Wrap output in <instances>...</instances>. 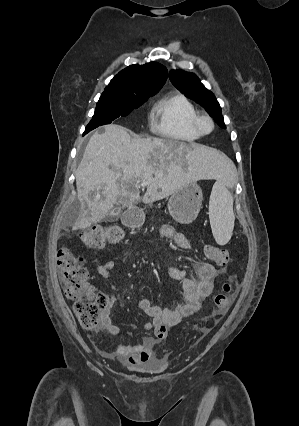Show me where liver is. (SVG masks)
<instances>
[{
	"label": "liver",
	"mask_w": 299,
	"mask_h": 426,
	"mask_svg": "<svg viewBox=\"0 0 299 426\" xmlns=\"http://www.w3.org/2000/svg\"><path fill=\"white\" fill-rule=\"evenodd\" d=\"M104 129L91 136L75 173L80 202L75 229L101 222L115 204H138L143 181L149 184L142 200L152 203L190 182L225 179L234 170L232 161L211 147L131 137L125 127L115 124Z\"/></svg>",
	"instance_id": "liver-1"
}]
</instances>
